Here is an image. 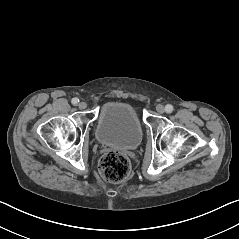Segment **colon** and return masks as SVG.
Segmentation results:
<instances>
[{"label": "colon", "mask_w": 239, "mask_h": 239, "mask_svg": "<svg viewBox=\"0 0 239 239\" xmlns=\"http://www.w3.org/2000/svg\"><path fill=\"white\" fill-rule=\"evenodd\" d=\"M131 165L128 157L119 152H107L100 159L99 171L110 182H121L130 173Z\"/></svg>", "instance_id": "obj_1"}]
</instances>
